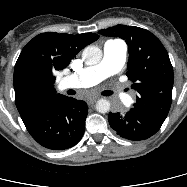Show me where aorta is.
<instances>
[{"mask_svg": "<svg viewBox=\"0 0 187 187\" xmlns=\"http://www.w3.org/2000/svg\"><path fill=\"white\" fill-rule=\"evenodd\" d=\"M82 59L87 65L98 64L102 59V51L97 46H87L82 52ZM96 110L102 114L107 113L110 110V102L106 99L98 100Z\"/></svg>", "mask_w": 187, "mask_h": 187, "instance_id": "aorta-1", "label": "aorta"}]
</instances>
